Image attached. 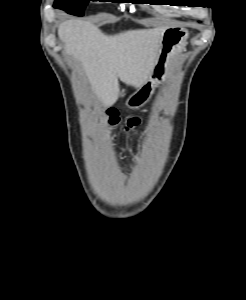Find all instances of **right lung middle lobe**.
<instances>
[{"mask_svg":"<svg viewBox=\"0 0 246 300\" xmlns=\"http://www.w3.org/2000/svg\"><path fill=\"white\" fill-rule=\"evenodd\" d=\"M89 1L98 0H55L53 7L61 9L72 15L83 16L84 8Z\"/></svg>","mask_w":246,"mask_h":300,"instance_id":"dd1d6c3e","label":"right lung middle lobe"}]
</instances>
